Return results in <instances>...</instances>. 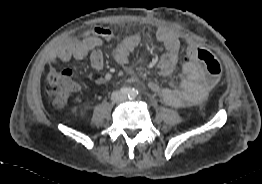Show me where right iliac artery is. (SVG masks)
<instances>
[{
  "instance_id": "1",
  "label": "right iliac artery",
  "mask_w": 262,
  "mask_h": 184,
  "mask_svg": "<svg viewBox=\"0 0 262 184\" xmlns=\"http://www.w3.org/2000/svg\"><path fill=\"white\" fill-rule=\"evenodd\" d=\"M120 92L124 95H127L128 97L130 96V94L133 92V89L128 88V87H122L120 89Z\"/></svg>"
}]
</instances>
